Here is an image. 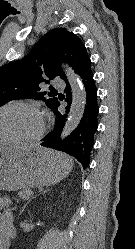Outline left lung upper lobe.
I'll return each instance as SVG.
<instances>
[{"label":"left lung upper lobe","instance_id":"obj_1","mask_svg":"<svg viewBox=\"0 0 135 249\" xmlns=\"http://www.w3.org/2000/svg\"><path fill=\"white\" fill-rule=\"evenodd\" d=\"M62 62L80 75L91 60L77 35L56 28L46 33L23 59L0 67V107L14 99L29 98L43 100L52 109L58 99L51 92H42L40 84L56 76L67 83Z\"/></svg>","mask_w":135,"mask_h":249}]
</instances>
